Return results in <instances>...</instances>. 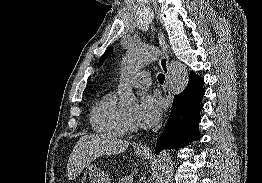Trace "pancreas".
<instances>
[{
	"label": "pancreas",
	"mask_w": 262,
	"mask_h": 183,
	"mask_svg": "<svg viewBox=\"0 0 262 183\" xmlns=\"http://www.w3.org/2000/svg\"><path fill=\"white\" fill-rule=\"evenodd\" d=\"M117 183H132V176H122L118 178Z\"/></svg>",
	"instance_id": "obj_1"
}]
</instances>
